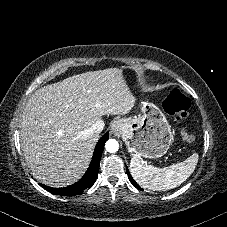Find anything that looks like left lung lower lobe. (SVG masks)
<instances>
[{
    "mask_svg": "<svg viewBox=\"0 0 227 227\" xmlns=\"http://www.w3.org/2000/svg\"><path fill=\"white\" fill-rule=\"evenodd\" d=\"M127 174H128V178H129L130 182H131L136 188L142 190V189L139 187V185L133 180V178H132V176L130 175L128 169H127Z\"/></svg>",
    "mask_w": 227,
    "mask_h": 227,
    "instance_id": "obj_1",
    "label": "left lung lower lobe"
}]
</instances>
